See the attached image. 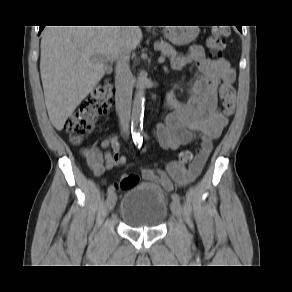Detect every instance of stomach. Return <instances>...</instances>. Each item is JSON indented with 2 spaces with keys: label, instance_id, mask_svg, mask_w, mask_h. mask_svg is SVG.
Returning <instances> with one entry per match:
<instances>
[{
  "label": "stomach",
  "instance_id": "0dacf381",
  "mask_svg": "<svg viewBox=\"0 0 292 292\" xmlns=\"http://www.w3.org/2000/svg\"><path fill=\"white\" fill-rule=\"evenodd\" d=\"M198 26L171 27L165 29V37L175 45H186L194 41L198 35Z\"/></svg>",
  "mask_w": 292,
  "mask_h": 292
}]
</instances>
